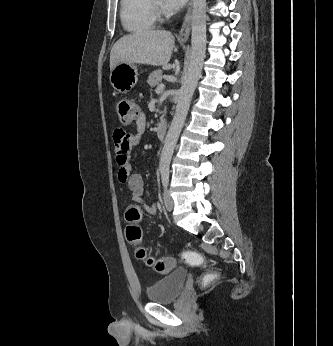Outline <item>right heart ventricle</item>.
<instances>
[{
    "label": "right heart ventricle",
    "instance_id": "right-heart-ventricle-1",
    "mask_svg": "<svg viewBox=\"0 0 333 346\" xmlns=\"http://www.w3.org/2000/svg\"><path fill=\"white\" fill-rule=\"evenodd\" d=\"M120 17L124 29L131 33L148 31L155 24L151 0H121Z\"/></svg>",
    "mask_w": 333,
    "mask_h": 346
}]
</instances>
